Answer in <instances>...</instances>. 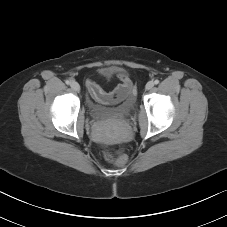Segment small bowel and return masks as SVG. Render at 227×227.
<instances>
[{
	"label": "small bowel",
	"instance_id": "obj_1",
	"mask_svg": "<svg viewBox=\"0 0 227 227\" xmlns=\"http://www.w3.org/2000/svg\"><path fill=\"white\" fill-rule=\"evenodd\" d=\"M102 73L107 77L116 75L119 79V84L113 91L105 92L95 81L87 80L86 86L93 100L104 104L118 103L126 96L132 94V81L127 73L116 70L113 67L104 69Z\"/></svg>",
	"mask_w": 227,
	"mask_h": 227
}]
</instances>
